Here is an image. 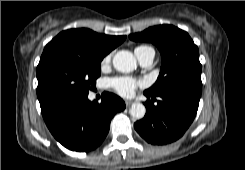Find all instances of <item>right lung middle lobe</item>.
Wrapping results in <instances>:
<instances>
[{"instance_id":"dd1d6c3e","label":"right lung middle lobe","mask_w":245,"mask_h":170,"mask_svg":"<svg viewBox=\"0 0 245 170\" xmlns=\"http://www.w3.org/2000/svg\"><path fill=\"white\" fill-rule=\"evenodd\" d=\"M101 61L61 51L43 53L37 66L41 108L61 99L87 95L100 76Z\"/></svg>"}]
</instances>
